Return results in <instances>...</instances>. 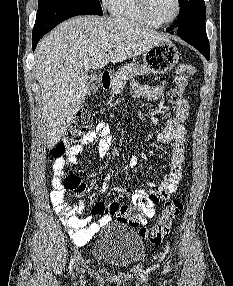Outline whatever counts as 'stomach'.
Returning <instances> with one entry per match:
<instances>
[{"label":"stomach","mask_w":233,"mask_h":286,"mask_svg":"<svg viewBox=\"0 0 233 286\" xmlns=\"http://www.w3.org/2000/svg\"><path fill=\"white\" fill-rule=\"evenodd\" d=\"M179 55L170 40L163 41L143 54V65L153 74L167 73L176 65Z\"/></svg>","instance_id":"obj_1"}]
</instances>
